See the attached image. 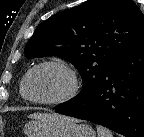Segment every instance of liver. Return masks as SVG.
I'll return each mask as SVG.
<instances>
[{"label":"liver","mask_w":144,"mask_h":137,"mask_svg":"<svg viewBox=\"0 0 144 137\" xmlns=\"http://www.w3.org/2000/svg\"><path fill=\"white\" fill-rule=\"evenodd\" d=\"M30 119L37 120V121H46V120H53V119H61L65 116L58 115V114H48V113H33L28 116Z\"/></svg>","instance_id":"1"}]
</instances>
